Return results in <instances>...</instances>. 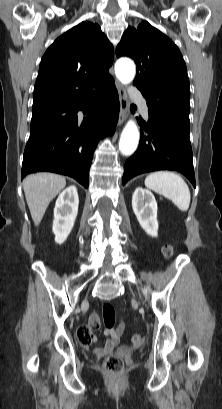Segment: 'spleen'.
Listing matches in <instances>:
<instances>
[{
	"mask_svg": "<svg viewBox=\"0 0 222 409\" xmlns=\"http://www.w3.org/2000/svg\"><path fill=\"white\" fill-rule=\"evenodd\" d=\"M145 186L171 200L179 210H188L191 201L190 190L181 176L169 171L149 174Z\"/></svg>",
	"mask_w": 222,
	"mask_h": 409,
	"instance_id": "3e777b00",
	"label": "spleen"
}]
</instances>
